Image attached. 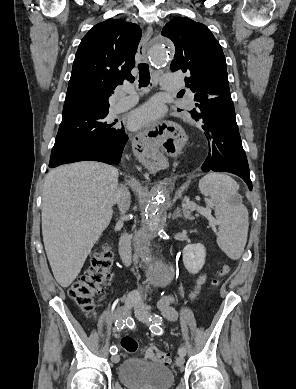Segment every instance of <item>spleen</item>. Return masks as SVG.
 I'll return each instance as SVG.
<instances>
[{"label":"spleen","instance_id":"1","mask_svg":"<svg viewBox=\"0 0 296 389\" xmlns=\"http://www.w3.org/2000/svg\"><path fill=\"white\" fill-rule=\"evenodd\" d=\"M199 189L216 206L218 246L229 258L239 259L247 242L249 228L248 210L241 199H237L239 185L228 175L209 173L199 181Z\"/></svg>","mask_w":296,"mask_h":389}]
</instances>
